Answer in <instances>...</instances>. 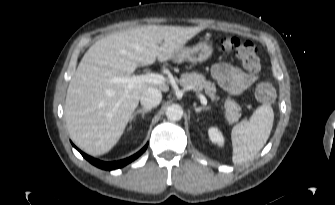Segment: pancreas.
Instances as JSON below:
<instances>
[{"instance_id": "1", "label": "pancreas", "mask_w": 335, "mask_h": 205, "mask_svg": "<svg viewBox=\"0 0 335 205\" xmlns=\"http://www.w3.org/2000/svg\"><path fill=\"white\" fill-rule=\"evenodd\" d=\"M179 83L182 87L191 88L195 91H205V94L211 98V100H218L216 96L215 84L207 81L205 76L196 72L182 74ZM225 119L229 124L238 122L241 117L240 106L228 97L224 102Z\"/></svg>"}]
</instances>
